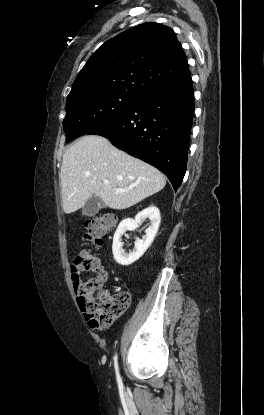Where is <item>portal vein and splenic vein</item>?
Segmentation results:
<instances>
[{"mask_svg":"<svg viewBox=\"0 0 264 415\" xmlns=\"http://www.w3.org/2000/svg\"><path fill=\"white\" fill-rule=\"evenodd\" d=\"M109 184V182L107 181V180H105L104 181V185H108ZM116 192L117 193H123L124 192V190L123 189H116Z\"/></svg>","mask_w":264,"mask_h":415,"instance_id":"18ae733b","label":"portal vein and splenic vein"}]
</instances>
